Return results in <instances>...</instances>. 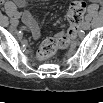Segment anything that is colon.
I'll use <instances>...</instances> for the list:
<instances>
[{
    "label": "colon",
    "mask_w": 103,
    "mask_h": 103,
    "mask_svg": "<svg viewBox=\"0 0 103 103\" xmlns=\"http://www.w3.org/2000/svg\"><path fill=\"white\" fill-rule=\"evenodd\" d=\"M86 4L75 1L70 5L68 18L70 28L55 37L45 39L38 50V58L45 60L52 56L58 49H66L77 38L81 24L85 18Z\"/></svg>",
    "instance_id": "colon-1"
}]
</instances>
